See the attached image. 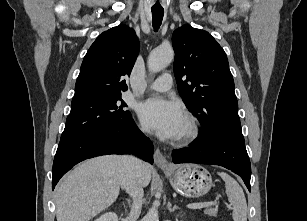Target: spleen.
<instances>
[{"instance_id":"spleen-1","label":"spleen","mask_w":307,"mask_h":221,"mask_svg":"<svg viewBox=\"0 0 307 221\" xmlns=\"http://www.w3.org/2000/svg\"><path fill=\"white\" fill-rule=\"evenodd\" d=\"M224 180L228 201L233 206L234 221H247V203L244 192L238 182L225 172H218Z\"/></svg>"}]
</instances>
